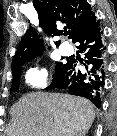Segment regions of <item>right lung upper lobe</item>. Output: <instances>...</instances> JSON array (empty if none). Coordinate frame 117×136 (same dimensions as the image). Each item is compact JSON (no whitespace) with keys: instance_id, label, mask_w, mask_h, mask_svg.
Segmentation results:
<instances>
[{"instance_id":"obj_1","label":"right lung upper lobe","mask_w":117,"mask_h":136,"mask_svg":"<svg viewBox=\"0 0 117 136\" xmlns=\"http://www.w3.org/2000/svg\"><path fill=\"white\" fill-rule=\"evenodd\" d=\"M33 0L34 8L38 13L40 26L47 35H61L57 29L60 23L69 28L73 42H76L81 33L90 28L96 21L95 13L85 0ZM59 45V42H56ZM44 42L31 27L23 36L12 63V70L41 55Z\"/></svg>"}]
</instances>
